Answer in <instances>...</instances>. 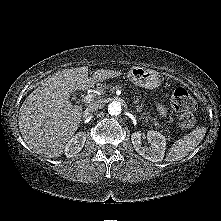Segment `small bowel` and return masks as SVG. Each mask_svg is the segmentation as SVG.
<instances>
[{
	"label": "small bowel",
	"instance_id": "obj_1",
	"mask_svg": "<svg viewBox=\"0 0 221 221\" xmlns=\"http://www.w3.org/2000/svg\"><path fill=\"white\" fill-rule=\"evenodd\" d=\"M160 111H161V112H164V109H163V108H160Z\"/></svg>",
	"mask_w": 221,
	"mask_h": 221
}]
</instances>
